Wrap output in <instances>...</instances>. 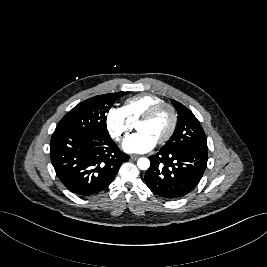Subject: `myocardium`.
<instances>
[{
    "label": "myocardium",
    "mask_w": 267,
    "mask_h": 267,
    "mask_svg": "<svg viewBox=\"0 0 267 267\" xmlns=\"http://www.w3.org/2000/svg\"><path fill=\"white\" fill-rule=\"evenodd\" d=\"M162 110H168L171 116V124L166 132V134L160 138L157 143L158 144H164L166 143L174 134L177 124H178V115L176 112V109L174 108L173 105L167 102H160L155 105H153L151 108H149L143 115L142 117L138 120V123L145 122L152 120L154 117H156Z\"/></svg>",
    "instance_id": "myocardium-1"
}]
</instances>
